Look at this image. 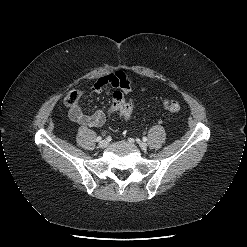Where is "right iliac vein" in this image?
Instances as JSON below:
<instances>
[{"instance_id": "63e3f726", "label": "right iliac vein", "mask_w": 247, "mask_h": 247, "mask_svg": "<svg viewBox=\"0 0 247 247\" xmlns=\"http://www.w3.org/2000/svg\"><path fill=\"white\" fill-rule=\"evenodd\" d=\"M107 146H108V141H107V140H102V141H100V143H99V147H100V148L104 149V148H106Z\"/></svg>"}]
</instances>
